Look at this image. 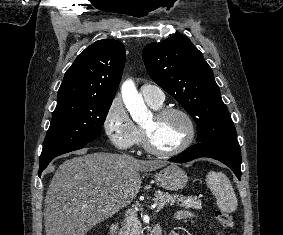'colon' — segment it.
Here are the masks:
<instances>
[{
  "instance_id": "colon-1",
  "label": "colon",
  "mask_w": 283,
  "mask_h": 235,
  "mask_svg": "<svg viewBox=\"0 0 283 235\" xmlns=\"http://www.w3.org/2000/svg\"><path fill=\"white\" fill-rule=\"evenodd\" d=\"M216 219L223 227H229L232 224V216L227 212L218 211Z\"/></svg>"
}]
</instances>
